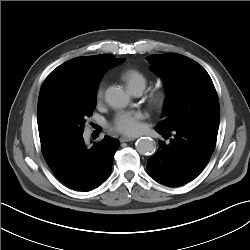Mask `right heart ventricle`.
I'll return each mask as SVG.
<instances>
[{
    "label": "right heart ventricle",
    "instance_id": "right-heart-ventricle-1",
    "mask_svg": "<svg viewBox=\"0 0 250 250\" xmlns=\"http://www.w3.org/2000/svg\"><path fill=\"white\" fill-rule=\"evenodd\" d=\"M121 78L126 82L130 90L135 88L144 89L148 82L146 74L135 68L126 69L123 71Z\"/></svg>",
    "mask_w": 250,
    "mask_h": 250
}]
</instances>
